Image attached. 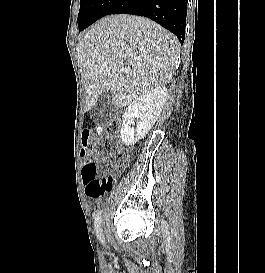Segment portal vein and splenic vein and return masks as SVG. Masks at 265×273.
<instances>
[{"label": "portal vein and splenic vein", "mask_w": 265, "mask_h": 273, "mask_svg": "<svg viewBox=\"0 0 265 273\" xmlns=\"http://www.w3.org/2000/svg\"><path fill=\"white\" fill-rule=\"evenodd\" d=\"M121 71H122V72H126V71H127V68L122 67V68H121Z\"/></svg>", "instance_id": "18ae733b"}]
</instances>
